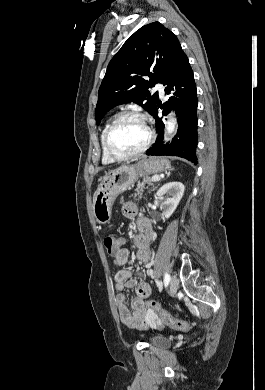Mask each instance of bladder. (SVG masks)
Listing matches in <instances>:
<instances>
[{"mask_svg": "<svg viewBox=\"0 0 265 390\" xmlns=\"http://www.w3.org/2000/svg\"><path fill=\"white\" fill-rule=\"evenodd\" d=\"M171 344V341L162 336H155L151 339V345L154 347L164 348L168 347Z\"/></svg>", "mask_w": 265, "mask_h": 390, "instance_id": "31cf9c89", "label": "bladder"}]
</instances>
